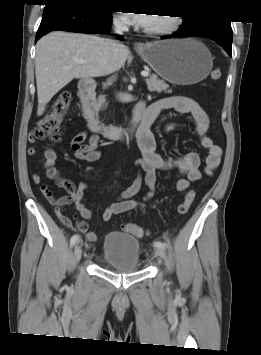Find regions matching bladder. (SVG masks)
<instances>
[{
    "instance_id": "obj_1",
    "label": "bladder",
    "mask_w": 261,
    "mask_h": 355,
    "mask_svg": "<svg viewBox=\"0 0 261 355\" xmlns=\"http://www.w3.org/2000/svg\"><path fill=\"white\" fill-rule=\"evenodd\" d=\"M140 246L130 235L110 232L105 236L103 259L113 269L131 273L138 271Z\"/></svg>"
}]
</instances>
